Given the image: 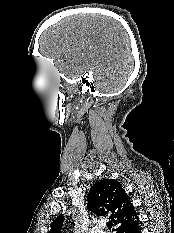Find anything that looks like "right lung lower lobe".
Here are the masks:
<instances>
[{
  "instance_id": "98d812e1",
  "label": "right lung lower lobe",
  "mask_w": 174,
  "mask_h": 233,
  "mask_svg": "<svg viewBox=\"0 0 174 233\" xmlns=\"http://www.w3.org/2000/svg\"><path fill=\"white\" fill-rule=\"evenodd\" d=\"M125 233H141V229L139 224L135 226L133 229L125 231Z\"/></svg>"
}]
</instances>
